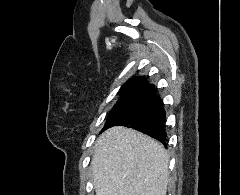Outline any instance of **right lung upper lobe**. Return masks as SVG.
I'll return each instance as SVG.
<instances>
[{
    "mask_svg": "<svg viewBox=\"0 0 240 195\" xmlns=\"http://www.w3.org/2000/svg\"><path fill=\"white\" fill-rule=\"evenodd\" d=\"M154 90V85L146 83L144 77L133 78L129 80L123 89L121 95H149Z\"/></svg>",
    "mask_w": 240,
    "mask_h": 195,
    "instance_id": "obj_1",
    "label": "right lung upper lobe"
}]
</instances>
